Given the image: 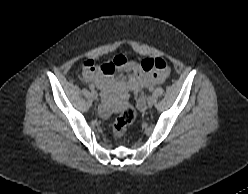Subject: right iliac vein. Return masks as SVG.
Here are the masks:
<instances>
[{
  "label": "right iliac vein",
  "instance_id": "1",
  "mask_svg": "<svg viewBox=\"0 0 248 194\" xmlns=\"http://www.w3.org/2000/svg\"><path fill=\"white\" fill-rule=\"evenodd\" d=\"M91 96L94 100L98 99V93L96 91H92Z\"/></svg>",
  "mask_w": 248,
  "mask_h": 194
}]
</instances>
